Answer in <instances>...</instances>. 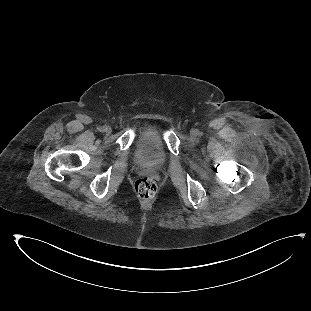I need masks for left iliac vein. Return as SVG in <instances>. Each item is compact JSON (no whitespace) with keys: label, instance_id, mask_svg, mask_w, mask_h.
Instances as JSON below:
<instances>
[{"label":"left iliac vein","instance_id":"obj_1","mask_svg":"<svg viewBox=\"0 0 311 311\" xmlns=\"http://www.w3.org/2000/svg\"><path fill=\"white\" fill-rule=\"evenodd\" d=\"M190 135L192 138H195L197 136V131L196 130H191Z\"/></svg>","mask_w":311,"mask_h":311}]
</instances>
